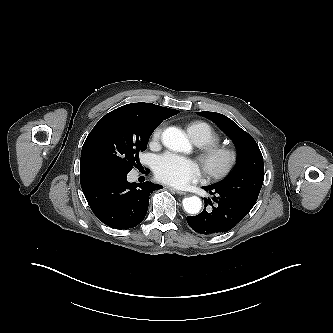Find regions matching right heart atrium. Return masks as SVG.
Here are the masks:
<instances>
[{
  "mask_svg": "<svg viewBox=\"0 0 333 333\" xmlns=\"http://www.w3.org/2000/svg\"><path fill=\"white\" fill-rule=\"evenodd\" d=\"M162 135V128L157 127L152 133V142H158Z\"/></svg>",
  "mask_w": 333,
  "mask_h": 333,
  "instance_id": "right-heart-atrium-1",
  "label": "right heart atrium"
}]
</instances>
